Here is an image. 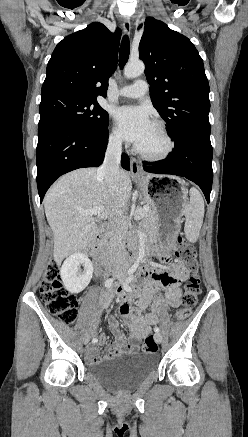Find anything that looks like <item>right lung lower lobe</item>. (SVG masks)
Returning a JSON list of instances; mask_svg holds the SVG:
<instances>
[{
  "mask_svg": "<svg viewBox=\"0 0 248 437\" xmlns=\"http://www.w3.org/2000/svg\"><path fill=\"white\" fill-rule=\"evenodd\" d=\"M107 143V129L97 133L61 121L39 124L36 164L40 201L61 175L78 168L101 165ZM121 165L130 170L126 154H122Z\"/></svg>",
  "mask_w": 248,
  "mask_h": 437,
  "instance_id": "obj_1",
  "label": "right lung lower lobe"
}]
</instances>
